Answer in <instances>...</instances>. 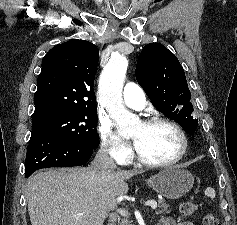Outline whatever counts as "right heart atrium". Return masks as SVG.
Listing matches in <instances>:
<instances>
[{"instance_id": "obj_1", "label": "right heart atrium", "mask_w": 237, "mask_h": 225, "mask_svg": "<svg viewBox=\"0 0 237 225\" xmlns=\"http://www.w3.org/2000/svg\"><path fill=\"white\" fill-rule=\"evenodd\" d=\"M97 132L101 150L110 159L119 164H125L131 159V150L116 134L109 121L99 120Z\"/></svg>"}]
</instances>
